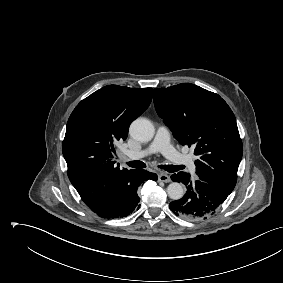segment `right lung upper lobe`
Segmentation results:
<instances>
[{
	"label": "right lung upper lobe",
	"mask_w": 283,
	"mask_h": 283,
	"mask_svg": "<svg viewBox=\"0 0 283 283\" xmlns=\"http://www.w3.org/2000/svg\"><path fill=\"white\" fill-rule=\"evenodd\" d=\"M152 88L105 86L73 110L62 151L68 177L83 202L96 211L128 193L135 170L113 161L116 144L149 106Z\"/></svg>",
	"instance_id": "obj_1"
}]
</instances>
